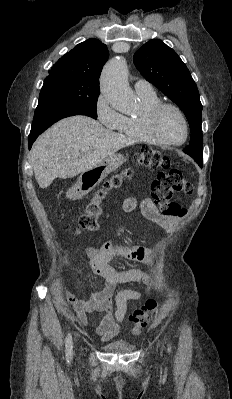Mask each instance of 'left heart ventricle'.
<instances>
[{
	"label": "left heart ventricle",
	"mask_w": 232,
	"mask_h": 399,
	"mask_svg": "<svg viewBox=\"0 0 232 399\" xmlns=\"http://www.w3.org/2000/svg\"><path fill=\"white\" fill-rule=\"evenodd\" d=\"M157 129L164 138L174 142H181L186 134L181 118L172 109H165L158 116Z\"/></svg>",
	"instance_id": "b2bd125f"
}]
</instances>
